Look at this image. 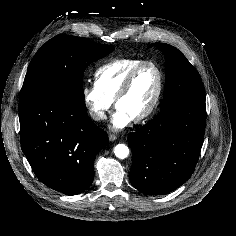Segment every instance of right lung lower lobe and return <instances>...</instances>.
Here are the masks:
<instances>
[{"mask_svg":"<svg viewBox=\"0 0 236 236\" xmlns=\"http://www.w3.org/2000/svg\"><path fill=\"white\" fill-rule=\"evenodd\" d=\"M21 147L37 178L66 195L93 181L96 154L108 136L88 117L84 102L35 94L19 103Z\"/></svg>","mask_w":236,"mask_h":236,"instance_id":"98d812e1","label":"right lung lower lobe"}]
</instances>
